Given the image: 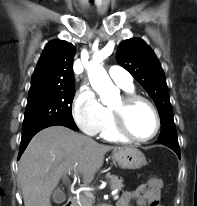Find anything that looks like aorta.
<instances>
[{
    "label": "aorta",
    "mask_w": 197,
    "mask_h": 206,
    "mask_svg": "<svg viewBox=\"0 0 197 206\" xmlns=\"http://www.w3.org/2000/svg\"><path fill=\"white\" fill-rule=\"evenodd\" d=\"M85 67L92 88L100 95L102 103L108 104L112 100L114 93L117 92V88L97 61H91Z\"/></svg>",
    "instance_id": "1"
}]
</instances>
